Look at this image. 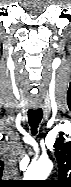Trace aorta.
<instances>
[{
  "label": "aorta",
  "instance_id": "762f6f07",
  "mask_svg": "<svg viewBox=\"0 0 71 187\" xmlns=\"http://www.w3.org/2000/svg\"><path fill=\"white\" fill-rule=\"evenodd\" d=\"M53 169V163L49 159H40L31 163L27 168L26 180H45Z\"/></svg>",
  "mask_w": 71,
  "mask_h": 187
}]
</instances>
